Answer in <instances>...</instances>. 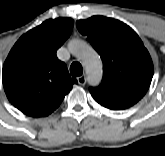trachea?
<instances>
[{
  "label": "trachea",
  "instance_id": "obj_1",
  "mask_svg": "<svg viewBox=\"0 0 165 156\" xmlns=\"http://www.w3.org/2000/svg\"><path fill=\"white\" fill-rule=\"evenodd\" d=\"M70 73L72 76H81L83 73L82 65L79 62H73L70 66Z\"/></svg>",
  "mask_w": 165,
  "mask_h": 156
}]
</instances>
